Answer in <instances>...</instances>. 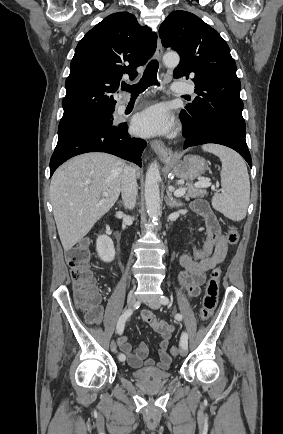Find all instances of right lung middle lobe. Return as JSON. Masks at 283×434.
Masks as SVG:
<instances>
[{"label":"right lung middle lobe","mask_w":283,"mask_h":434,"mask_svg":"<svg viewBox=\"0 0 283 434\" xmlns=\"http://www.w3.org/2000/svg\"><path fill=\"white\" fill-rule=\"evenodd\" d=\"M113 112L114 110H110V111H105L94 115L61 119L58 128V136L60 137L70 131L89 125H95V124L113 125L114 124Z\"/></svg>","instance_id":"obj_1"}]
</instances>
